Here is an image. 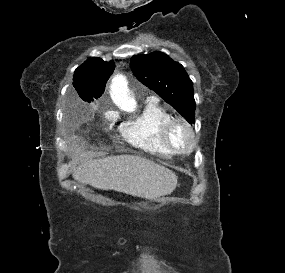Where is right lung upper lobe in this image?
<instances>
[{
  "label": "right lung upper lobe",
  "mask_w": 285,
  "mask_h": 273,
  "mask_svg": "<svg viewBox=\"0 0 285 273\" xmlns=\"http://www.w3.org/2000/svg\"><path fill=\"white\" fill-rule=\"evenodd\" d=\"M114 68L113 61L105 62L101 58L88 59L75 70L73 76V86L79 96L87 102L100 97Z\"/></svg>",
  "instance_id": "right-lung-upper-lobe-1"
}]
</instances>
